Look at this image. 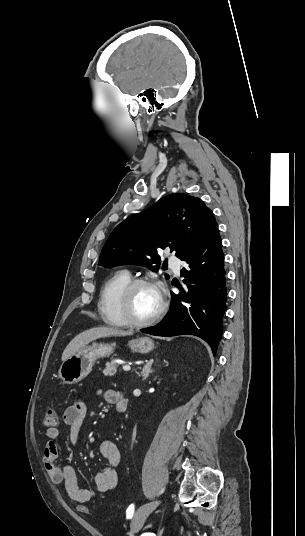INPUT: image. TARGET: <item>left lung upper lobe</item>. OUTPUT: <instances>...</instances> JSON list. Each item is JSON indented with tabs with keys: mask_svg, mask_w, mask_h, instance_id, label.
<instances>
[{
	"mask_svg": "<svg viewBox=\"0 0 305 536\" xmlns=\"http://www.w3.org/2000/svg\"><path fill=\"white\" fill-rule=\"evenodd\" d=\"M216 227L212 211L198 197L168 195L149 209L128 217L112 231L99 265L135 264L157 271L160 248L169 247L182 259L194 252Z\"/></svg>",
	"mask_w": 305,
	"mask_h": 536,
	"instance_id": "obj_1",
	"label": "left lung upper lobe"
}]
</instances>
